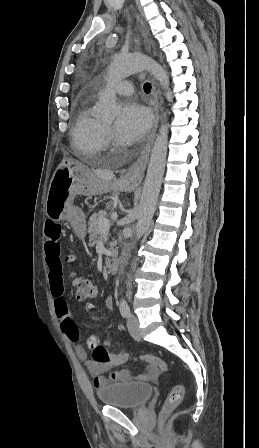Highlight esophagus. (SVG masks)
I'll return each instance as SVG.
<instances>
[{
	"label": "esophagus",
	"mask_w": 259,
	"mask_h": 448,
	"mask_svg": "<svg viewBox=\"0 0 259 448\" xmlns=\"http://www.w3.org/2000/svg\"><path fill=\"white\" fill-rule=\"evenodd\" d=\"M136 17L138 20H140L138 15H136ZM142 35H143L145 44L147 46V49L150 50L148 34H147V30L144 26L142 27ZM158 105H159L158 95L156 92L155 82L153 81V83H152V106H153V110H154L153 128H152V131L148 137L147 143H146L145 147L143 148L141 154L139 155L137 160L133 163V165H131L129 167L127 172L122 177L126 182H128L130 184H140L142 181L143 174H144L145 168L148 163L150 151H151V148L153 145V141H154V138L156 135V130L158 127V122H159V107H158Z\"/></svg>",
	"instance_id": "esophagus-1"
}]
</instances>
